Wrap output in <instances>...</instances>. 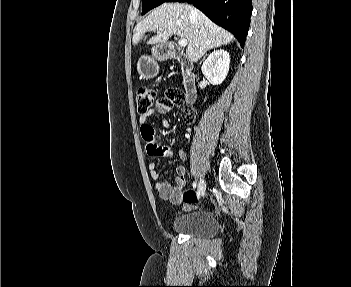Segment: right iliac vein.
<instances>
[{"instance_id":"right-iliac-vein-1","label":"right iliac vein","mask_w":351,"mask_h":287,"mask_svg":"<svg viewBox=\"0 0 351 287\" xmlns=\"http://www.w3.org/2000/svg\"><path fill=\"white\" fill-rule=\"evenodd\" d=\"M205 190H206V182L203 178H201L198 183V191H197L198 197L202 196L205 193Z\"/></svg>"}]
</instances>
